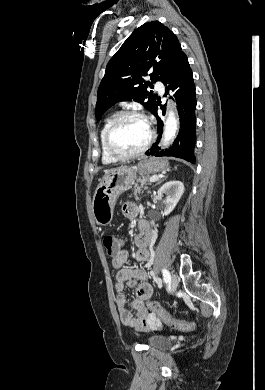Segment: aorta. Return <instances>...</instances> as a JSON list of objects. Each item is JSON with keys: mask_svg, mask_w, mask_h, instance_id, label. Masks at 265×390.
Masks as SVG:
<instances>
[{"mask_svg": "<svg viewBox=\"0 0 265 390\" xmlns=\"http://www.w3.org/2000/svg\"><path fill=\"white\" fill-rule=\"evenodd\" d=\"M178 128V119L176 117V113L172 107L169 108L167 119L164 126V133H163V146L169 145V143L173 140L175 137V134L177 132Z\"/></svg>", "mask_w": 265, "mask_h": 390, "instance_id": "1", "label": "aorta"}]
</instances>
